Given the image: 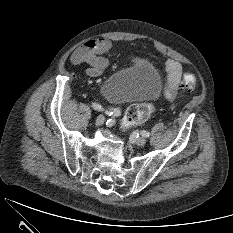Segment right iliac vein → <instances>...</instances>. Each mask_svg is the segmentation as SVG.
I'll return each instance as SVG.
<instances>
[{
  "label": "right iliac vein",
  "mask_w": 233,
  "mask_h": 233,
  "mask_svg": "<svg viewBox=\"0 0 233 233\" xmlns=\"http://www.w3.org/2000/svg\"><path fill=\"white\" fill-rule=\"evenodd\" d=\"M104 122H105V117L103 115H99L95 121L97 126L102 125Z\"/></svg>",
  "instance_id": "obj_1"
}]
</instances>
